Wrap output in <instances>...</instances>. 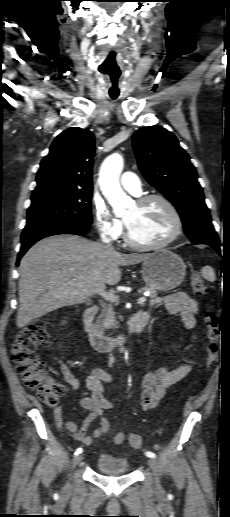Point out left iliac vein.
<instances>
[{
    "label": "left iliac vein",
    "instance_id": "1",
    "mask_svg": "<svg viewBox=\"0 0 230 517\" xmlns=\"http://www.w3.org/2000/svg\"><path fill=\"white\" fill-rule=\"evenodd\" d=\"M148 464H149V467L151 468V470L153 471V474L155 476V489L158 493H162L163 492V488L160 484V479H159V476H158V464L156 462V460L154 458H149L148 459Z\"/></svg>",
    "mask_w": 230,
    "mask_h": 517
}]
</instances>
